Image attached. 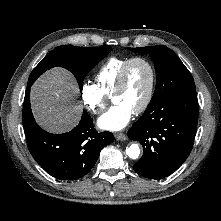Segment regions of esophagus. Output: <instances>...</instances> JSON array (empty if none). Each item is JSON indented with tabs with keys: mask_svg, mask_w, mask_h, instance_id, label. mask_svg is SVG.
<instances>
[{
	"mask_svg": "<svg viewBox=\"0 0 221 221\" xmlns=\"http://www.w3.org/2000/svg\"><path fill=\"white\" fill-rule=\"evenodd\" d=\"M114 136L118 141H125L127 139V136L121 132L115 133Z\"/></svg>",
	"mask_w": 221,
	"mask_h": 221,
	"instance_id": "esophagus-1",
	"label": "esophagus"
}]
</instances>
